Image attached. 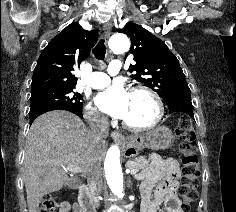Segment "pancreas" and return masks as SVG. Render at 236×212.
Returning a JSON list of instances; mask_svg holds the SVG:
<instances>
[{
  "instance_id": "obj_1",
  "label": "pancreas",
  "mask_w": 236,
  "mask_h": 212,
  "mask_svg": "<svg viewBox=\"0 0 236 212\" xmlns=\"http://www.w3.org/2000/svg\"><path fill=\"white\" fill-rule=\"evenodd\" d=\"M149 161L144 156L136 157L134 159V164L127 163V167L130 169H137L138 171L141 169H145L148 167Z\"/></svg>"
}]
</instances>
